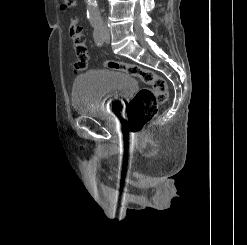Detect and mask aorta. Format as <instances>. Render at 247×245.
Returning <instances> with one entry per match:
<instances>
[{"instance_id":"762f6f07","label":"aorta","mask_w":247,"mask_h":245,"mask_svg":"<svg viewBox=\"0 0 247 245\" xmlns=\"http://www.w3.org/2000/svg\"><path fill=\"white\" fill-rule=\"evenodd\" d=\"M87 3V17L92 25H99L102 23V17L98 8L97 0H86Z\"/></svg>"}]
</instances>
